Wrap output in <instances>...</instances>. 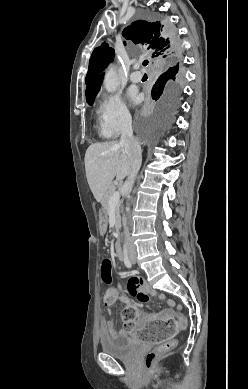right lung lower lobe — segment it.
Instances as JSON below:
<instances>
[{
    "instance_id": "98d812e1",
    "label": "right lung lower lobe",
    "mask_w": 248,
    "mask_h": 389,
    "mask_svg": "<svg viewBox=\"0 0 248 389\" xmlns=\"http://www.w3.org/2000/svg\"><path fill=\"white\" fill-rule=\"evenodd\" d=\"M165 27H166V31H167V33H168V36H169V38H170L171 43L173 44V46H174L175 48H177V47H178V46H177L178 40H177L175 34L170 30V28H169V26H168L167 24H165ZM156 83H157V82H156ZM156 83H155V84H156Z\"/></svg>"
}]
</instances>
